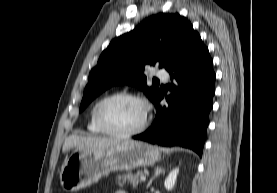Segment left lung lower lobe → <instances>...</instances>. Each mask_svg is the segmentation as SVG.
I'll use <instances>...</instances> for the list:
<instances>
[{
	"label": "left lung lower lobe",
	"instance_id": "obj_1",
	"mask_svg": "<svg viewBox=\"0 0 277 193\" xmlns=\"http://www.w3.org/2000/svg\"><path fill=\"white\" fill-rule=\"evenodd\" d=\"M174 82L168 87L173 92L166 97L167 105L159 106L152 126L136 140L163 146L188 147L200 156L209 124V112L213 106L216 75L208 48L199 35L191 41L184 57L169 70Z\"/></svg>",
	"mask_w": 277,
	"mask_h": 193
}]
</instances>
